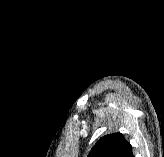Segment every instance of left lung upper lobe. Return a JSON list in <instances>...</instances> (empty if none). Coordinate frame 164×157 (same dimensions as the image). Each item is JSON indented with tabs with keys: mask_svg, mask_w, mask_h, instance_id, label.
I'll list each match as a JSON object with an SVG mask.
<instances>
[{
	"mask_svg": "<svg viewBox=\"0 0 164 157\" xmlns=\"http://www.w3.org/2000/svg\"><path fill=\"white\" fill-rule=\"evenodd\" d=\"M131 145L121 133H113L100 138L87 157H129Z\"/></svg>",
	"mask_w": 164,
	"mask_h": 157,
	"instance_id": "1",
	"label": "left lung upper lobe"
}]
</instances>
